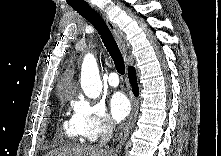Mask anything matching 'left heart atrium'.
Here are the masks:
<instances>
[{"label": "left heart atrium", "mask_w": 221, "mask_h": 156, "mask_svg": "<svg viewBox=\"0 0 221 156\" xmlns=\"http://www.w3.org/2000/svg\"><path fill=\"white\" fill-rule=\"evenodd\" d=\"M109 105L112 117L118 122L123 120L131 109L128 98L121 92H116L111 96Z\"/></svg>", "instance_id": "obj_1"}]
</instances>
